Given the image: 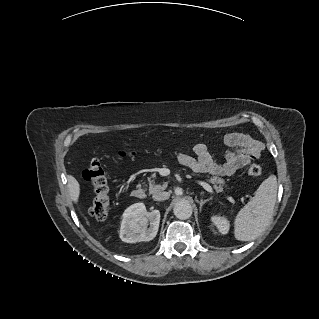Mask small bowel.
Segmentation results:
<instances>
[{
	"mask_svg": "<svg viewBox=\"0 0 319 319\" xmlns=\"http://www.w3.org/2000/svg\"><path fill=\"white\" fill-rule=\"evenodd\" d=\"M226 146L225 162L217 163L204 143L193 147L194 156L179 153L178 161L195 173L209 172L220 177H231L240 168L259 158L262 147L259 142L246 134L231 133L224 139Z\"/></svg>",
	"mask_w": 319,
	"mask_h": 319,
	"instance_id": "1",
	"label": "small bowel"
}]
</instances>
